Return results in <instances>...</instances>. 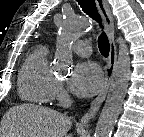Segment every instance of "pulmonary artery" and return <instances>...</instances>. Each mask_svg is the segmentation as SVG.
Segmentation results:
<instances>
[{"label": "pulmonary artery", "instance_id": "pulmonary-artery-1", "mask_svg": "<svg viewBox=\"0 0 144 137\" xmlns=\"http://www.w3.org/2000/svg\"><path fill=\"white\" fill-rule=\"evenodd\" d=\"M72 50L79 56L88 57L91 54V45L87 40H78L72 45Z\"/></svg>", "mask_w": 144, "mask_h": 137}]
</instances>
